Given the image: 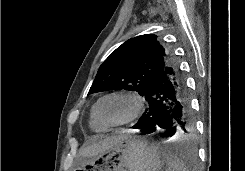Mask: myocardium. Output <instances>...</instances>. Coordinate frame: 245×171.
I'll return each mask as SVG.
<instances>
[{
    "instance_id": "myocardium-1",
    "label": "myocardium",
    "mask_w": 245,
    "mask_h": 171,
    "mask_svg": "<svg viewBox=\"0 0 245 171\" xmlns=\"http://www.w3.org/2000/svg\"><path fill=\"white\" fill-rule=\"evenodd\" d=\"M110 97H124V98L129 99L132 102L133 104L132 111L125 119L119 122H115V123H108V122H105L100 117L99 112H98L99 106L102 101ZM144 107H145L144 99L138 92L133 91V90H116V91L109 92L103 95L102 97H100L94 105L93 113H94L96 120L99 123H101L104 127L114 128V127H120V126L130 124L136 119H138L141 116L144 110Z\"/></svg>"
}]
</instances>
